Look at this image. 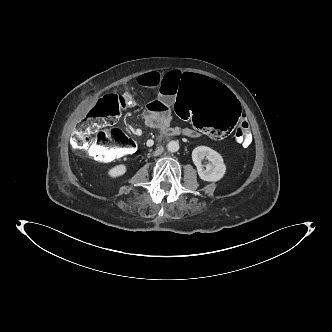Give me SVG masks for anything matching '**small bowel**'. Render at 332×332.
<instances>
[{"mask_svg": "<svg viewBox=\"0 0 332 332\" xmlns=\"http://www.w3.org/2000/svg\"><path fill=\"white\" fill-rule=\"evenodd\" d=\"M181 78H183L181 72L169 71L166 73L149 72L136 79L140 86L158 90L157 99L149 102L144 110V119L148 126L162 129L173 123L171 104L175 97L176 86ZM128 100V104L134 101L131 97H128ZM183 131L186 136L193 138L201 135L200 132L189 128H185Z\"/></svg>", "mask_w": 332, "mask_h": 332, "instance_id": "1", "label": "small bowel"}]
</instances>
